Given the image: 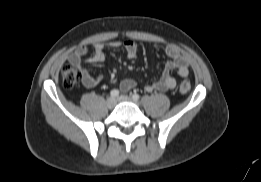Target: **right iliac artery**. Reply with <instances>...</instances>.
I'll return each mask as SVG.
<instances>
[{
  "mask_svg": "<svg viewBox=\"0 0 261 182\" xmlns=\"http://www.w3.org/2000/svg\"><path fill=\"white\" fill-rule=\"evenodd\" d=\"M119 94H120V92H119L118 89H113V90H111V92H110V96L113 97V98L118 97Z\"/></svg>",
  "mask_w": 261,
  "mask_h": 182,
  "instance_id": "right-iliac-artery-1",
  "label": "right iliac artery"
}]
</instances>
